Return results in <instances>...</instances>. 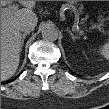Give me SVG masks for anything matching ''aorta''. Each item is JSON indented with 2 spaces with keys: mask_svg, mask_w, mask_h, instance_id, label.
Instances as JSON below:
<instances>
[{
  "mask_svg": "<svg viewBox=\"0 0 109 109\" xmlns=\"http://www.w3.org/2000/svg\"><path fill=\"white\" fill-rule=\"evenodd\" d=\"M41 32H42L43 39H45L47 41H55L58 38V31L55 28V26H53L51 24H46L42 28Z\"/></svg>",
  "mask_w": 109,
  "mask_h": 109,
  "instance_id": "aorta-1",
  "label": "aorta"
}]
</instances>
